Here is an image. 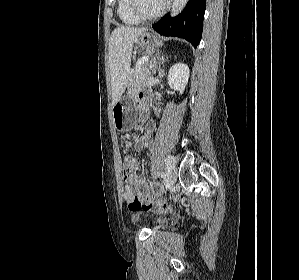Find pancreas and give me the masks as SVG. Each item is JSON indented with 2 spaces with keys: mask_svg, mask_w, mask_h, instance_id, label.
<instances>
[{
  "mask_svg": "<svg viewBox=\"0 0 299 280\" xmlns=\"http://www.w3.org/2000/svg\"><path fill=\"white\" fill-rule=\"evenodd\" d=\"M150 75V66L148 63H144L141 66L140 73L136 74L135 72L132 73L131 79L129 82V92L135 93L139 88L145 86L146 79Z\"/></svg>",
  "mask_w": 299,
  "mask_h": 280,
  "instance_id": "1",
  "label": "pancreas"
}]
</instances>
